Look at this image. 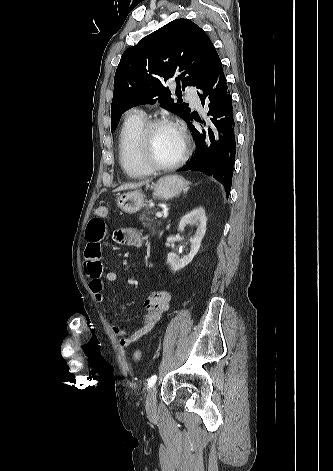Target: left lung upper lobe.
I'll return each mask as SVG.
<instances>
[{
  "label": "left lung upper lobe",
  "mask_w": 333,
  "mask_h": 471,
  "mask_svg": "<svg viewBox=\"0 0 333 471\" xmlns=\"http://www.w3.org/2000/svg\"><path fill=\"white\" fill-rule=\"evenodd\" d=\"M215 54L205 31L188 19L173 20L128 48L115 73L111 131L126 110L156 101L185 121L190 115L188 104L175 103L163 83L175 79L177 96L180 82L183 89L197 86Z\"/></svg>",
  "instance_id": "obj_1"
}]
</instances>
